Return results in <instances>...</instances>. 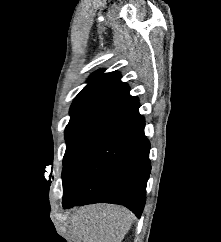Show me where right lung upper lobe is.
Wrapping results in <instances>:
<instances>
[{
  "label": "right lung upper lobe",
  "instance_id": "cb5924a9",
  "mask_svg": "<svg viewBox=\"0 0 221 242\" xmlns=\"http://www.w3.org/2000/svg\"><path fill=\"white\" fill-rule=\"evenodd\" d=\"M98 70L76 96L70 108L68 126L80 124L103 125L134 105L137 97L130 96V88L121 82L119 72Z\"/></svg>",
  "mask_w": 221,
  "mask_h": 242
}]
</instances>
